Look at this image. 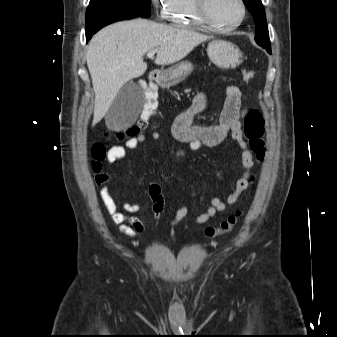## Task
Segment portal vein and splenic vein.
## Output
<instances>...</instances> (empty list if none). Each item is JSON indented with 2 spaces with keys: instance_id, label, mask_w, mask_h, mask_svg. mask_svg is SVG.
I'll list each match as a JSON object with an SVG mask.
<instances>
[{
  "instance_id": "obj_1",
  "label": "portal vein and splenic vein",
  "mask_w": 337,
  "mask_h": 337,
  "mask_svg": "<svg viewBox=\"0 0 337 337\" xmlns=\"http://www.w3.org/2000/svg\"><path fill=\"white\" fill-rule=\"evenodd\" d=\"M155 50H153V51H149L148 53H147V57L148 58H153L154 57V54H155Z\"/></svg>"
}]
</instances>
